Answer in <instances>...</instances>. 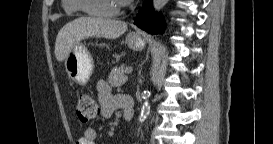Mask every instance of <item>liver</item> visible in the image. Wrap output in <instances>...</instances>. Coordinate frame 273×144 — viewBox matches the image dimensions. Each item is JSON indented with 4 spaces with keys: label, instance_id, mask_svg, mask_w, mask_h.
Here are the masks:
<instances>
[{
    "label": "liver",
    "instance_id": "1",
    "mask_svg": "<svg viewBox=\"0 0 273 144\" xmlns=\"http://www.w3.org/2000/svg\"><path fill=\"white\" fill-rule=\"evenodd\" d=\"M127 30L123 21L80 17L65 24L57 34L55 42V57L62 62L70 49L81 40L89 37L118 38Z\"/></svg>",
    "mask_w": 273,
    "mask_h": 144
}]
</instances>
